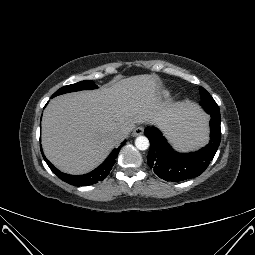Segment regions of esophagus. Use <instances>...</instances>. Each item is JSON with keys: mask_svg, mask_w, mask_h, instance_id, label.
Wrapping results in <instances>:
<instances>
[{"mask_svg": "<svg viewBox=\"0 0 255 255\" xmlns=\"http://www.w3.org/2000/svg\"><path fill=\"white\" fill-rule=\"evenodd\" d=\"M143 132H144V128L142 126H138L133 130L132 135L139 136V135L143 134Z\"/></svg>", "mask_w": 255, "mask_h": 255, "instance_id": "esophagus-1", "label": "esophagus"}]
</instances>
